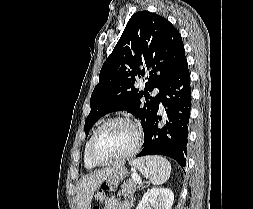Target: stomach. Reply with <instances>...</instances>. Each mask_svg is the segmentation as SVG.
<instances>
[{
    "label": "stomach",
    "mask_w": 253,
    "mask_h": 209,
    "mask_svg": "<svg viewBox=\"0 0 253 209\" xmlns=\"http://www.w3.org/2000/svg\"><path fill=\"white\" fill-rule=\"evenodd\" d=\"M129 174V171L118 168L111 176L107 177L103 183H100L95 198L101 200L103 199V192H113L114 188H118V182H123V179L129 176Z\"/></svg>",
    "instance_id": "obj_1"
}]
</instances>
